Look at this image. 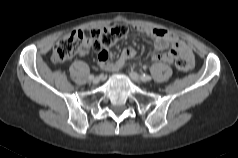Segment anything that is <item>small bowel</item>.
<instances>
[{
	"instance_id": "c3829d8e",
	"label": "small bowel",
	"mask_w": 238,
	"mask_h": 158,
	"mask_svg": "<svg viewBox=\"0 0 238 158\" xmlns=\"http://www.w3.org/2000/svg\"><path fill=\"white\" fill-rule=\"evenodd\" d=\"M138 32L148 35L154 43V47L157 51H164L171 48L168 52L153 53L151 58L154 61L173 63L177 57L184 58L190 62H194V55L189 45L180 40L174 33L162 29V28H147L139 26L136 28ZM136 54L135 49L126 45L121 52L120 57L117 60L111 59L109 50L104 49L98 55L99 65L102 69L110 72H116L120 70L125 63L132 59Z\"/></svg>"
}]
</instances>
